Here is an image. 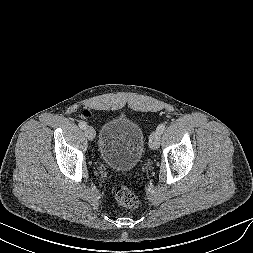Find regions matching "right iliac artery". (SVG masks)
<instances>
[{"label":"right iliac artery","mask_w":253,"mask_h":253,"mask_svg":"<svg viewBox=\"0 0 253 253\" xmlns=\"http://www.w3.org/2000/svg\"><path fill=\"white\" fill-rule=\"evenodd\" d=\"M78 125L81 129H85L87 127V124L84 121H80Z\"/></svg>","instance_id":"82829eb1"}]
</instances>
